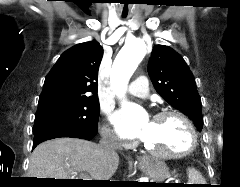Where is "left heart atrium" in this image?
<instances>
[{
	"instance_id": "39dd6f15",
	"label": "left heart atrium",
	"mask_w": 240,
	"mask_h": 187,
	"mask_svg": "<svg viewBox=\"0 0 240 187\" xmlns=\"http://www.w3.org/2000/svg\"><path fill=\"white\" fill-rule=\"evenodd\" d=\"M115 124H116V127L118 129V131L123 135V136H126V137H136V138H139L143 141H145L147 139V130L146 129H142L138 132H133L131 131L128 126L126 125V123L121 119L120 116L116 115L115 116Z\"/></svg>"
}]
</instances>
